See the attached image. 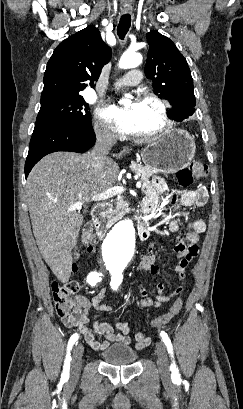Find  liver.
Masks as SVG:
<instances>
[{"label":"liver","instance_id":"obj_1","mask_svg":"<svg viewBox=\"0 0 243 409\" xmlns=\"http://www.w3.org/2000/svg\"><path fill=\"white\" fill-rule=\"evenodd\" d=\"M124 150L120 155L129 153ZM119 166L107 157L103 168L94 172L85 155L54 152L42 158L30 172L26 192L33 233L39 251L58 280L71 276V251L77 243L83 216L68 208L111 188L117 181Z\"/></svg>","mask_w":243,"mask_h":409}]
</instances>
